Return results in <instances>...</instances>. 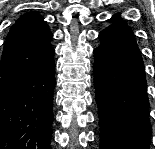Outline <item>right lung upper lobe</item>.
<instances>
[{"label": "right lung upper lobe", "mask_w": 155, "mask_h": 149, "mask_svg": "<svg viewBox=\"0 0 155 149\" xmlns=\"http://www.w3.org/2000/svg\"><path fill=\"white\" fill-rule=\"evenodd\" d=\"M52 33L38 13L22 15L6 38L0 65V77L37 66L54 55Z\"/></svg>", "instance_id": "right-lung-upper-lobe-1"}]
</instances>
